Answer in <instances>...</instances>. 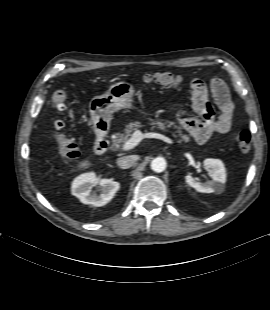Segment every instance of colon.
<instances>
[{"label":"colon","instance_id":"colon-1","mask_svg":"<svg viewBox=\"0 0 270 310\" xmlns=\"http://www.w3.org/2000/svg\"><path fill=\"white\" fill-rule=\"evenodd\" d=\"M146 83H155L165 87H178L182 83V78L170 72H159L147 74L143 77ZM69 100V93L66 90H57L52 96V108L57 112H62L66 108ZM211 110V105H206ZM52 135L56 142L60 156L64 160H72L80 155V147L77 139L67 136L63 132L64 122L60 119L52 121ZM236 144L240 152L246 154L251 148V136L247 131L240 132L236 137Z\"/></svg>","mask_w":270,"mask_h":310}]
</instances>
